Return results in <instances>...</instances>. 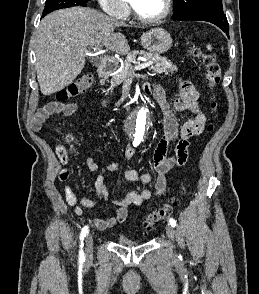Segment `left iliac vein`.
Wrapping results in <instances>:
<instances>
[{"label":"left iliac vein","mask_w":259,"mask_h":294,"mask_svg":"<svg viewBox=\"0 0 259 294\" xmlns=\"http://www.w3.org/2000/svg\"><path fill=\"white\" fill-rule=\"evenodd\" d=\"M166 234H167L168 238L172 241V243H174V241H175V231H174L173 227L170 224L166 225Z\"/></svg>","instance_id":"obj_1"}]
</instances>
